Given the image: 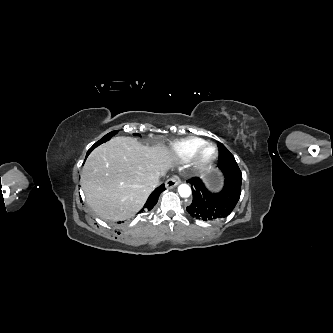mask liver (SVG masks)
I'll list each match as a JSON object with an SVG mask.
<instances>
[{"label":"liver","instance_id":"1","mask_svg":"<svg viewBox=\"0 0 333 333\" xmlns=\"http://www.w3.org/2000/svg\"><path fill=\"white\" fill-rule=\"evenodd\" d=\"M173 162L163 144L147 147L131 137H114L94 149L85 162L80 182L86 201L103 219L130 218Z\"/></svg>","mask_w":333,"mask_h":333}]
</instances>
